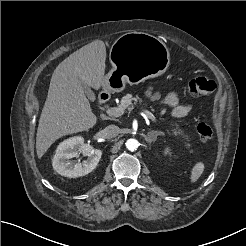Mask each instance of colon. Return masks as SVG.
Returning a JSON list of instances; mask_svg holds the SVG:
<instances>
[{"mask_svg":"<svg viewBox=\"0 0 246 246\" xmlns=\"http://www.w3.org/2000/svg\"><path fill=\"white\" fill-rule=\"evenodd\" d=\"M216 89V83L206 77H195L188 81L187 90L193 96H201L212 93ZM197 133L203 141H207L212 137L211 127L205 123L197 124Z\"/></svg>","mask_w":246,"mask_h":246,"instance_id":"colon-1","label":"colon"}]
</instances>
